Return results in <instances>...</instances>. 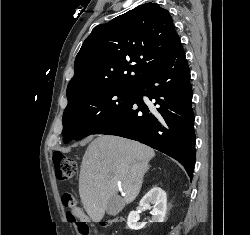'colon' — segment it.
<instances>
[{
    "label": "colon",
    "instance_id": "colon-1",
    "mask_svg": "<svg viewBox=\"0 0 250 235\" xmlns=\"http://www.w3.org/2000/svg\"><path fill=\"white\" fill-rule=\"evenodd\" d=\"M53 165L55 169V175L58 181L64 182L73 179L78 171L77 163L61 154V153H54L53 154ZM63 203L67 207L73 208L74 205V198L71 194L65 193L62 197ZM68 217L71 219H74L75 216L72 211L68 212ZM122 222L121 219H112L107 222V224H112V223H119ZM76 225L78 227V230L80 232V235H89L90 234V229L89 225L85 221H77Z\"/></svg>",
    "mask_w": 250,
    "mask_h": 235
}]
</instances>
